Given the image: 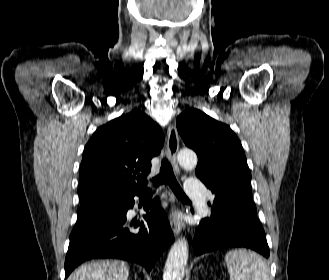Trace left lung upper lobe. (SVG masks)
Masks as SVG:
<instances>
[{"label": "left lung upper lobe", "instance_id": "left-lung-upper-lobe-1", "mask_svg": "<svg viewBox=\"0 0 329 280\" xmlns=\"http://www.w3.org/2000/svg\"><path fill=\"white\" fill-rule=\"evenodd\" d=\"M176 125L185 144L198 155L196 175L216 194L213 205L249 192L251 173L245 153L228 125L193 108L182 112Z\"/></svg>", "mask_w": 329, "mask_h": 280}]
</instances>
